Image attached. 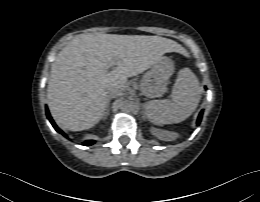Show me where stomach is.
<instances>
[{
  "instance_id": "0dacf381",
  "label": "stomach",
  "mask_w": 260,
  "mask_h": 202,
  "mask_svg": "<svg viewBox=\"0 0 260 202\" xmlns=\"http://www.w3.org/2000/svg\"><path fill=\"white\" fill-rule=\"evenodd\" d=\"M173 69V64L168 58L161 57L157 60L141 80L142 94L148 98L162 96L166 91V85Z\"/></svg>"
}]
</instances>
